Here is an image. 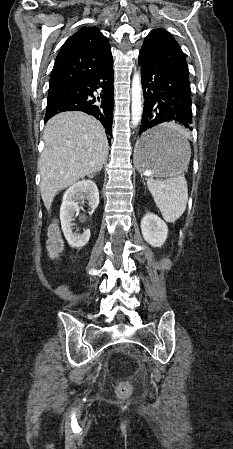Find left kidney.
I'll return each mask as SVG.
<instances>
[{
  "mask_svg": "<svg viewBox=\"0 0 233 449\" xmlns=\"http://www.w3.org/2000/svg\"><path fill=\"white\" fill-rule=\"evenodd\" d=\"M143 238L153 247H161L167 239L166 223L153 213H147L141 220Z\"/></svg>",
  "mask_w": 233,
  "mask_h": 449,
  "instance_id": "obj_1",
  "label": "left kidney"
}]
</instances>
